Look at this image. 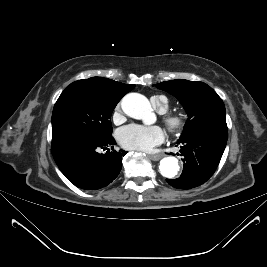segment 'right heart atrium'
<instances>
[{
  "instance_id": "right-heart-atrium-1",
  "label": "right heart atrium",
  "mask_w": 267,
  "mask_h": 267,
  "mask_svg": "<svg viewBox=\"0 0 267 267\" xmlns=\"http://www.w3.org/2000/svg\"><path fill=\"white\" fill-rule=\"evenodd\" d=\"M113 119L115 121H118L120 119V107L119 106H117L115 111H114Z\"/></svg>"
}]
</instances>
